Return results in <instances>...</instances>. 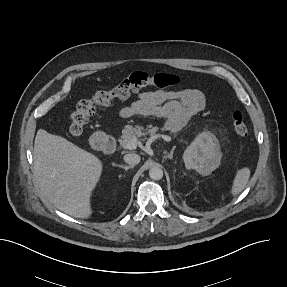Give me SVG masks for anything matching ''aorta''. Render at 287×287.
Wrapping results in <instances>:
<instances>
[{
    "instance_id": "762f6f07",
    "label": "aorta",
    "mask_w": 287,
    "mask_h": 287,
    "mask_svg": "<svg viewBox=\"0 0 287 287\" xmlns=\"http://www.w3.org/2000/svg\"><path fill=\"white\" fill-rule=\"evenodd\" d=\"M149 176L153 180H160L163 177V171L159 167H152L149 170Z\"/></svg>"
}]
</instances>
